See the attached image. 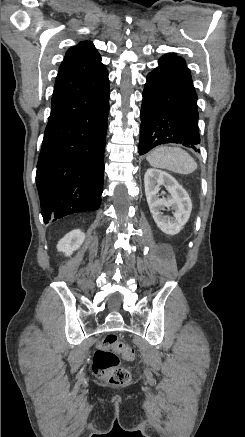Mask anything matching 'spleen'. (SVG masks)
<instances>
[{
	"label": "spleen",
	"instance_id": "1",
	"mask_svg": "<svg viewBox=\"0 0 245 437\" xmlns=\"http://www.w3.org/2000/svg\"><path fill=\"white\" fill-rule=\"evenodd\" d=\"M146 159L155 168H162L179 174L187 175L197 168L194 158L178 147H157L147 155Z\"/></svg>",
	"mask_w": 245,
	"mask_h": 437
}]
</instances>
